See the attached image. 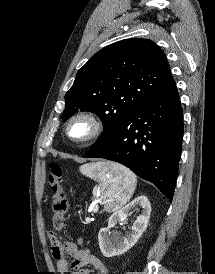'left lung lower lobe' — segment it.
<instances>
[{"label": "left lung lower lobe", "instance_id": "0a47b994", "mask_svg": "<svg viewBox=\"0 0 215 274\" xmlns=\"http://www.w3.org/2000/svg\"><path fill=\"white\" fill-rule=\"evenodd\" d=\"M183 112L175 81L135 108L85 158L125 165L172 201L182 149Z\"/></svg>", "mask_w": 215, "mask_h": 274}]
</instances>
